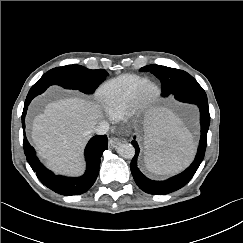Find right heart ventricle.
I'll use <instances>...</instances> for the list:
<instances>
[{"instance_id":"obj_1","label":"right heart ventricle","mask_w":243,"mask_h":243,"mask_svg":"<svg viewBox=\"0 0 243 243\" xmlns=\"http://www.w3.org/2000/svg\"><path fill=\"white\" fill-rule=\"evenodd\" d=\"M148 81L146 77L125 74L107 82L100 92V100L114 118L122 117L136 93Z\"/></svg>"}]
</instances>
